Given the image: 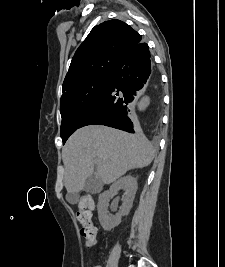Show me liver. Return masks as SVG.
Segmentation results:
<instances>
[{
	"instance_id": "obj_1",
	"label": "liver",
	"mask_w": 225,
	"mask_h": 267,
	"mask_svg": "<svg viewBox=\"0 0 225 267\" xmlns=\"http://www.w3.org/2000/svg\"><path fill=\"white\" fill-rule=\"evenodd\" d=\"M155 150L141 134H129L113 128L89 125L78 129L62 150L68 193L84 189L86 179L93 175L110 184L128 170L148 166ZM99 159V162H95Z\"/></svg>"
}]
</instances>
